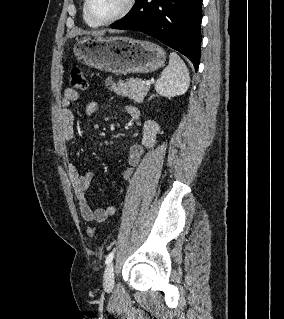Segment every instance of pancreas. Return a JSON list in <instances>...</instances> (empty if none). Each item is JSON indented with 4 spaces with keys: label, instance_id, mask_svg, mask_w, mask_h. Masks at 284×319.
<instances>
[{
    "label": "pancreas",
    "instance_id": "obj_1",
    "mask_svg": "<svg viewBox=\"0 0 284 319\" xmlns=\"http://www.w3.org/2000/svg\"><path fill=\"white\" fill-rule=\"evenodd\" d=\"M107 82L111 83V79H107ZM149 89L150 86L145 85L139 78H129L126 82L119 80L118 83H112L111 86V90L117 95L128 97L137 103L143 102Z\"/></svg>",
    "mask_w": 284,
    "mask_h": 319
}]
</instances>
